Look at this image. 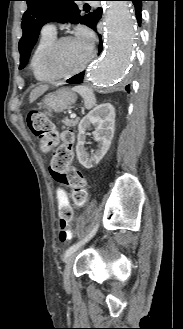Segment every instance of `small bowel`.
<instances>
[{
  "label": "small bowel",
  "mask_w": 183,
  "mask_h": 329,
  "mask_svg": "<svg viewBox=\"0 0 183 329\" xmlns=\"http://www.w3.org/2000/svg\"><path fill=\"white\" fill-rule=\"evenodd\" d=\"M53 194L56 199H69L70 187H53ZM74 207L70 206L69 201H60L57 207L56 217L57 218H72Z\"/></svg>",
  "instance_id": "c3829d8e"
}]
</instances>
